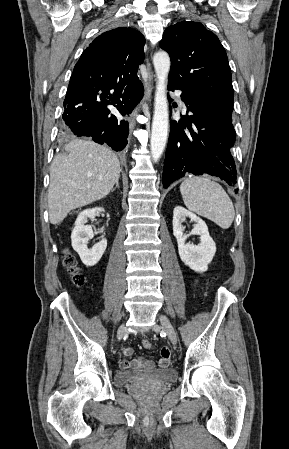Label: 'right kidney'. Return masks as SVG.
Listing matches in <instances>:
<instances>
[{
    "mask_svg": "<svg viewBox=\"0 0 289 449\" xmlns=\"http://www.w3.org/2000/svg\"><path fill=\"white\" fill-rule=\"evenodd\" d=\"M104 212L103 208L95 207L83 210L77 217L74 229L71 234L72 247L79 254L82 262L86 266H94L101 259L107 247V240L103 238L92 248H88L87 243L94 236L92 227L85 225L88 219H93L96 214Z\"/></svg>",
    "mask_w": 289,
    "mask_h": 449,
    "instance_id": "obj_1",
    "label": "right kidney"
}]
</instances>
